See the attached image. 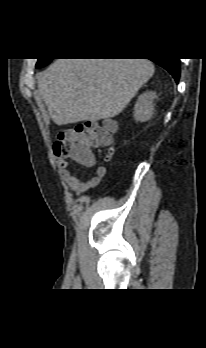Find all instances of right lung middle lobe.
<instances>
[{"instance_id": "dd1d6c3e", "label": "right lung middle lobe", "mask_w": 206, "mask_h": 348, "mask_svg": "<svg viewBox=\"0 0 206 348\" xmlns=\"http://www.w3.org/2000/svg\"><path fill=\"white\" fill-rule=\"evenodd\" d=\"M52 59H38V62L36 64V68H41L45 65H47Z\"/></svg>"}]
</instances>
